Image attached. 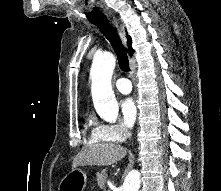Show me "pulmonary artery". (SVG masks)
<instances>
[{
  "mask_svg": "<svg viewBox=\"0 0 221 191\" xmlns=\"http://www.w3.org/2000/svg\"><path fill=\"white\" fill-rule=\"evenodd\" d=\"M116 89L124 94L130 93L132 90L131 82L126 78H119L115 82Z\"/></svg>",
  "mask_w": 221,
  "mask_h": 191,
  "instance_id": "1",
  "label": "pulmonary artery"
}]
</instances>
